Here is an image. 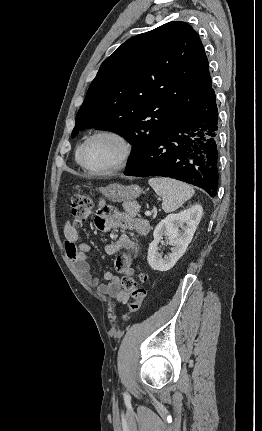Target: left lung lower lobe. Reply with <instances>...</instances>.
<instances>
[{"label":"left lung lower lobe","instance_id":"obj_1","mask_svg":"<svg viewBox=\"0 0 262 431\" xmlns=\"http://www.w3.org/2000/svg\"><path fill=\"white\" fill-rule=\"evenodd\" d=\"M218 109L214 90L190 107L129 167V176L174 178L215 196L218 188Z\"/></svg>","mask_w":262,"mask_h":431}]
</instances>
